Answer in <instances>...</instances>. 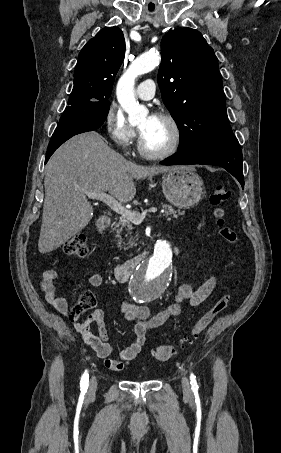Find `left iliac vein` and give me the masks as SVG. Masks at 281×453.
<instances>
[{
  "instance_id": "left-iliac-vein-1",
  "label": "left iliac vein",
  "mask_w": 281,
  "mask_h": 453,
  "mask_svg": "<svg viewBox=\"0 0 281 453\" xmlns=\"http://www.w3.org/2000/svg\"><path fill=\"white\" fill-rule=\"evenodd\" d=\"M181 382H182V389H183V392L185 395H190L191 394V388H190V385H189V381L187 379V377L184 375L181 379Z\"/></svg>"
}]
</instances>
